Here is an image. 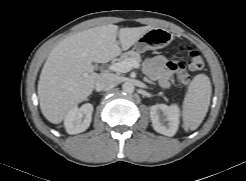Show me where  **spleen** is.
Segmentation results:
<instances>
[{
	"label": "spleen",
	"instance_id": "spleen-1",
	"mask_svg": "<svg viewBox=\"0 0 246 181\" xmlns=\"http://www.w3.org/2000/svg\"><path fill=\"white\" fill-rule=\"evenodd\" d=\"M212 86L208 76L196 75L182 103L183 128L196 130L204 120L210 105Z\"/></svg>",
	"mask_w": 246,
	"mask_h": 181
}]
</instances>
